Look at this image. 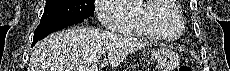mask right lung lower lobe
Returning a JSON list of instances; mask_svg holds the SVG:
<instances>
[{
    "label": "right lung lower lobe",
    "mask_w": 230,
    "mask_h": 71,
    "mask_svg": "<svg viewBox=\"0 0 230 71\" xmlns=\"http://www.w3.org/2000/svg\"><path fill=\"white\" fill-rule=\"evenodd\" d=\"M84 21V18H77V19H67V20H61L57 22H51V23H40L38 27L36 28L34 32V38L32 46L37 43V41L43 39L48 34L65 28L66 26L81 23Z\"/></svg>",
    "instance_id": "right-lung-lower-lobe-1"
}]
</instances>
